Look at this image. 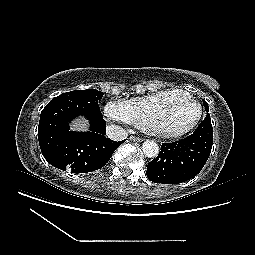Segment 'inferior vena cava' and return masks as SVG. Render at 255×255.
<instances>
[{
	"label": "inferior vena cava",
	"instance_id": "602c4592",
	"mask_svg": "<svg viewBox=\"0 0 255 255\" xmlns=\"http://www.w3.org/2000/svg\"><path fill=\"white\" fill-rule=\"evenodd\" d=\"M107 136L113 141H122L127 138L128 132L122 127L110 124L106 128Z\"/></svg>",
	"mask_w": 255,
	"mask_h": 255
}]
</instances>
